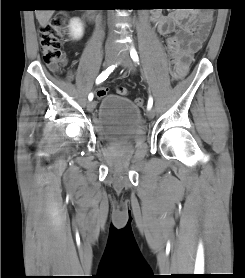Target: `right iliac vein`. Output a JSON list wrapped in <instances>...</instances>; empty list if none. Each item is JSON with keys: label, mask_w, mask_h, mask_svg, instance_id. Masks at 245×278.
<instances>
[{"label": "right iliac vein", "mask_w": 245, "mask_h": 278, "mask_svg": "<svg viewBox=\"0 0 245 278\" xmlns=\"http://www.w3.org/2000/svg\"><path fill=\"white\" fill-rule=\"evenodd\" d=\"M115 61H116V51L113 49L108 50L105 55L104 67L113 65ZM87 108L90 112H92L95 108V102L94 101L88 102Z\"/></svg>", "instance_id": "right-iliac-vein-1"}]
</instances>
